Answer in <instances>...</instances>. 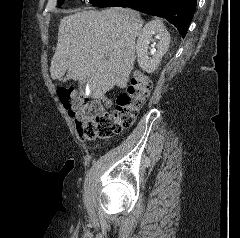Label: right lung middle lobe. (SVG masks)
Masks as SVG:
<instances>
[{
	"label": "right lung middle lobe",
	"instance_id": "obj_1",
	"mask_svg": "<svg viewBox=\"0 0 240 238\" xmlns=\"http://www.w3.org/2000/svg\"><path fill=\"white\" fill-rule=\"evenodd\" d=\"M64 0H58V6H61L63 4ZM97 0H92L91 3H95Z\"/></svg>",
	"mask_w": 240,
	"mask_h": 238
}]
</instances>
